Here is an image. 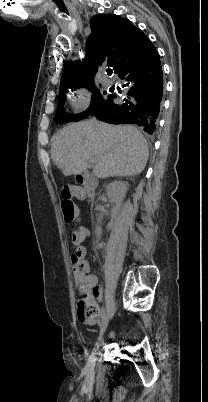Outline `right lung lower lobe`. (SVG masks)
Segmentation results:
<instances>
[{"instance_id":"1","label":"right lung lower lobe","mask_w":208,"mask_h":402,"mask_svg":"<svg viewBox=\"0 0 208 402\" xmlns=\"http://www.w3.org/2000/svg\"><path fill=\"white\" fill-rule=\"evenodd\" d=\"M117 74L127 81V96L122 103L113 101L108 109L96 112L95 116L111 124H136L153 134L162 106L163 73L160 56L145 34L139 36L122 58Z\"/></svg>"}]
</instances>
